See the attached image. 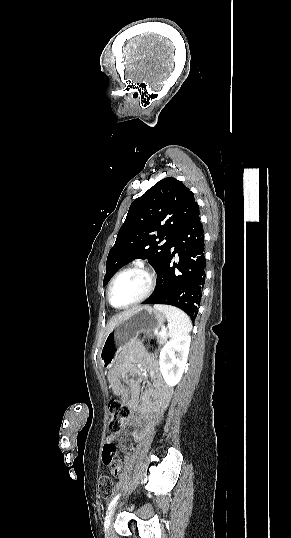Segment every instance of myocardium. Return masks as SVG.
Instances as JSON below:
<instances>
[{
  "label": "myocardium",
  "instance_id": "1",
  "mask_svg": "<svg viewBox=\"0 0 291 538\" xmlns=\"http://www.w3.org/2000/svg\"><path fill=\"white\" fill-rule=\"evenodd\" d=\"M132 271H137V272H140L142 273L143 275H145L147 277V280H148V286H147V289L146 291L141 295L139 296L137 299L129 302L128 304H125L123 306H116L113 304L112 302V290H113V286L115 284V282L117 281V279L122 276L123 274L125 273H128V272H132ZM155 285H156V276L155 274L149 269L147 268L146 266L144 265H140V264H136V265H131V266H128L122 270H120L111 280L110 284H109V287H108V301L110 303V305L116 309H125V308H129L131 306H134L136 304H139L143 301H145L153 292L154 288H155Z\"/></svg>",
  "mask_w": 291,
  "mask_h": 538
}]
</instances>
